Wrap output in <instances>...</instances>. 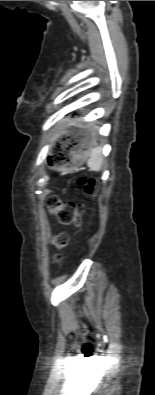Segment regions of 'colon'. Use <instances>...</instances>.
Returning a JSON list of instances; mask_svg holds the SVG:
<instances>
[{
	"mask_svg": "<svg viewBox=\"0 0 155 395\" xmlns=\"http://www.w3.org/2000/svg\"><path fill=\"white\" fill-rule=\"evenodd\" d=\"M79 184L85 187L88 194H92L95 188L93 180L81 179ZM47 208L54 215L58 222L64 226L79 225L81 223L82 207L73 202H62L57 196H50L47 199ZM57 250H61L68 244V235L64 232L56 234L52 239ZM60 256L55 255V260L59 261Z\"/></svg>",
	"mask_w": 155,
	"mask_h": 395,
	"instance_id": "5ec220e1",
	"label": "colon"
}]
</instances>
